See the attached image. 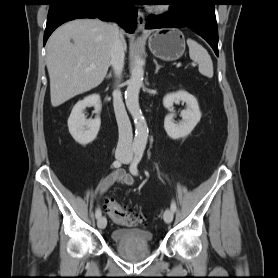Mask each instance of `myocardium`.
I'll list each match as a JSON object with an SVG mask.
<instances>
[{"mask_svg":"<svg viewBox=\"0 0 278 278\" xmlns=\"http://www.w3.org/2000/svg\"><path fill=\"white\" fill-rule=\"evenodd\" d=\"M168 7L169 6L165 5V4L164 5H159V6L156 7V10L159 11V12H163V11L167 10Z\"/></svg>","mask_w":278,"mask_h":278,"instance_id":"obj_1","label":"myocardium"}]
</instances>
